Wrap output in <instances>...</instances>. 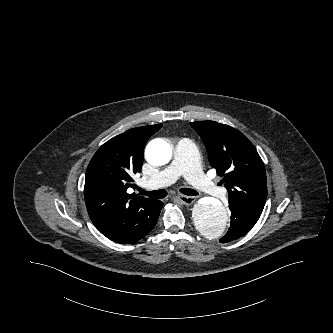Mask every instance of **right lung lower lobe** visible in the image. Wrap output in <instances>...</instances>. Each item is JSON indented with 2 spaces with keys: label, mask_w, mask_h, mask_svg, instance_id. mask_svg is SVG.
Returning a JSON list of instances; mask_svg holds the SVG:
<instances>
[{
  "label": "right lung lower lobe",
  "mask_w": 333,
  "mask_h": 333,
  "mask_svg": "<svg viewBox=\"0 0 333 333\" xmlns=\"http://www.w3.org/2000/svg\"><path fill=\"white\" fill-rule=\"evenodd\" d=\"M163 203L151 200L134 211L122 228L107 238L124 244H132L145 237L156 225Z\"/></svg>",
  "instance_id": "98d812e1"
}]
</instances>
